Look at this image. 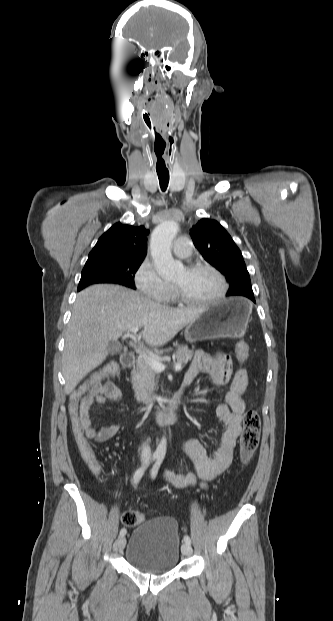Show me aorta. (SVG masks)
I'll use <instances>...</instances> for the list:
<instances>
[{"mask_svg":"<svg viewBox=\"0 0 333 621\" xmlns=\"http://www.w3.org/2000/svg\"><path fill=\"white\" fill-rule=\"evenodd\" d=\"M179 230L178 223L168 220L160 223L152 232L150 249L151 255L156 265L158 274L171 279L181 274L184 270L183 264L175 261L171 254V243ZM167 450V439L165 436L159 442L155 454L164 457Z\"/></svg>","mask_w":333,"mask_h":621,"instance_id":"aorta-1","label":"aorta"}]
</instances>
